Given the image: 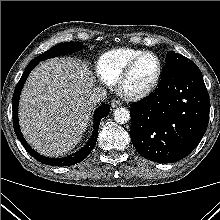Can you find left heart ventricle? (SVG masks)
Here are the masks:
<instances>
[{
    "label": "left heart ventricle",
    "mask_w": 220,
    "mask_h": 220,
    "mask_svg": "<svg viewBox=\"0 0 220 220\" xmlns=\"http://www.w3.org/2000/svg\"><path fill=\"white\" fill-rule=\"evenodd\" d=\"M157 66L155 57L150 55L143 57L132 71L126 88L130 91H139L147 87L155 77Z\"/></svg>",
    "instance_id": "left-heart-ventricle-1"
}]
</instances>
